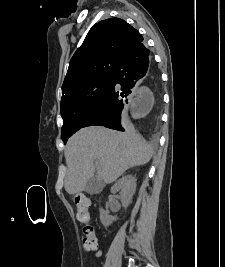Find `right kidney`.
I'll use <instances>...</instances> for the list:
<instances>
[{
    "instance_id": "obj_1",
    "label": "right kidney",
    "mask_w": 225,
    "mask_h": 267,
    "mask_svg": "<svg viewBox=\"0 0 225 267\" xmlns=\"http://www.w3.org/2000/svg\"><path fill=\"white\" fill-rule=\"evenodd\" d=\"M135 191L136 179L132 175L123 176L111 187V193L120 192V199L124 208H127L131 203ZM100 220L105 227H108L117 220V217L110 216L106 211L100 209Z\"/></svg>"
}]
</instances>
